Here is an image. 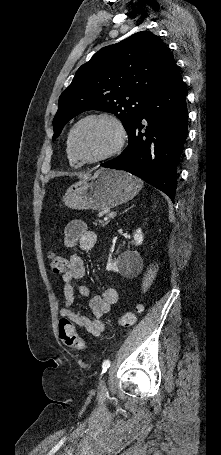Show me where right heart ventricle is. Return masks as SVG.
Segmentation results:
<instances>
[{"label": "right heart ventricle", "instance_id": "1", "mask_svg": "<svg viewBox=\"0 0 221 455\" xmlns=\"http://www.w3.org/2000/svg\"><path fill=\"white\" fill-rule=\"evenodd\" d=\"M66 151H67V156H68V159H69L70 164L73 165V166H78V165H79V162L71 155V152H70V150H69L68 142H67Z\"/></svg>", "mask_w": 221, "mask_h": 455}]
</instances>
